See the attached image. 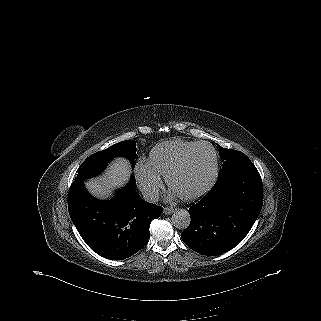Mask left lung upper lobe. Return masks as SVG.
I'll list each match as a JSON object with an SVG mask.
<instances>
[{
	"instance_id": "left-lung-upper-lobe-1",
	"label": "left lung upper lobe",
	"mask_w": 321,
	"mask_h": 321,
	"mask_svg": "<svg viewBox=\"0 0 321 321\" xmlns=\"http://www.w3.org/2000/svg\"><path fill=\"white\" fill-rule=\"evenodd\" d=\"M218 147L220 149V157L224 160L223 166L220 169L219 174L234 165L251 162L250 159L240 151L226 149L221 146Z\"/></svg>"
}]
</instances>
